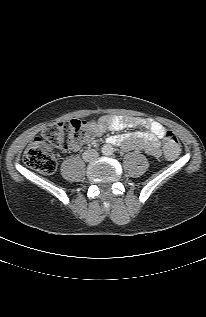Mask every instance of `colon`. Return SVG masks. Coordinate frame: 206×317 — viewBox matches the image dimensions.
Listing matches in <instances>:
<instances>
[{
	"label": "colon",
	"mask_w": 206,
	"mask_h": 317,
	"mask_svg": "<svg viewBox=\"0 0 206 317\" xmlns=\"http://www.w3.org/2000/svg\"><path fill=\"white\" fill-rule=\"evenodd\" d=\"M94 133V127L76 119L51 125L43 130L41 137H36L26 148L24 163L40 173L51 174L57 166L50 150L52 146L69 150L88 140ZM164 145L167 157L174 158L179 154L180 142L169 130L165 132Z\"/></svg>",
	"instance_id": "1"
}]
</instances>
